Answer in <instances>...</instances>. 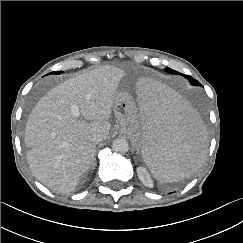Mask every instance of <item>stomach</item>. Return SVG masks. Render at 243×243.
Here are the masks:
<instances>
[{
	"label": "stomach",
	"mask_w": 243,
	"mask_h": 243,
	"mask_svg": "<svg viewBox=\"0 0 243 243\" xmlns=\"http://www.w3.org/2000/svg\"><path fill=\"white\" fill-rule=\"evenodd\" d=\"M112 109L118 120L120 132L128 135L131 141L136 144L138 133L136 126L137 117L135 102L132 96L125 91L117 92Z\"/></svg>",
	"instance_id": "obj_1"
}]
</instances>
